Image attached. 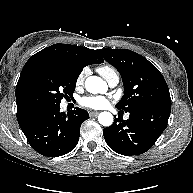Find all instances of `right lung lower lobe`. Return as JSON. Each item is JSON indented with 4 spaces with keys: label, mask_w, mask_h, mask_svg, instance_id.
<instances>
[{
    "label": "right lung lower lobe",
    "mask_w": 193,
    "mask_h": 193,
    "mask_svg": "<svg viewBox=\"0 0 193 193\" xmlns=\"http://www.w3.org/2000/svg\"><path fill=\"white\" fill-rule=\"evenodd\" d=\"M88 118L84 109L76 108L66 115L58 105L37 112L19 125L34 150L44 156L57 157L75 148L80 126Z\"/></svg>",
    "instance_id": "1"
}]
</instances>
